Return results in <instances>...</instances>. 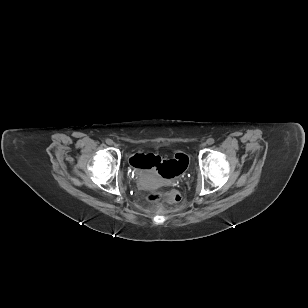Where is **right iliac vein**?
Here are the masks:
<instances>
[{
    "label": "right iliac vein",
    "instance_id": "right-iliac-vein-1",
    "mask_svg": "<svg viewBox=\"0 0 308 308\" xmlns=\"http://www.w3.org/2000/svg\"><path fill=\"white\" fill-rule=\"evenodd\" d=\"M111 145H114V146H116V144H115V143H111Z\"/></svg>",
    "mask_w": 308,
    "mask_h": 308
}]
</instances>
